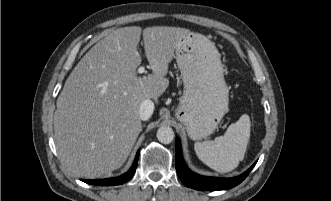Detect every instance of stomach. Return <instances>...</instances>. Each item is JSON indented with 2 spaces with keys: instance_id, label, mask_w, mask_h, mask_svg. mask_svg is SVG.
Masks as SVG:
<instances>
[{
  "instance_id": "obj_1",
  "label": "stomach",
  "mask_w": 331,
  "mask_h": 201,
  "mask_svg": "<svg viewBox=\"0 0 331 201\" xmlns=\"http://www.w3.org/2000/svg\"><path fill=\"white\" fill-rule=\"evenodd\" d=\"M184 93L176 113L189 137L206 138L214 132L228 110V87L215 44L206 36L190 32L175 50Z\"/></svg>"
}]
</instances>
